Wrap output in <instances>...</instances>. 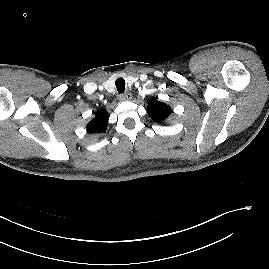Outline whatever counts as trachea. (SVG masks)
<instances>
[{"instance_id":"1","label":"trachea","mask_w":269,"mask_h":269,"mask_svg":"<svg viewBox=\"0 0 269 269\" xmlns=\"http://www.w3.org/2000/svg\"><path fill=\"white\" fill-rule=\"evenodd\" d=\"M115 85H116V88H117V91L118 93H123L125 91V80L123 78H118L116 81H115Z\"/></svg>"}]
</instances>
